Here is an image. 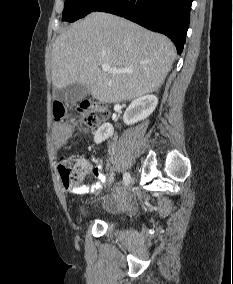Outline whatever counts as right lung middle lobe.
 Returning a JSON list of instances; mask_svg holds the SVG:
<instances>
[{"label": "right lung middle lobe", "instance_id": "dd1d6c3e", "mask_svg": "<svg viewBox=\"0 0 233 284\" xmlns=\"http://www.w3.org/2000/svg\"><path fill=\"white\" fill-rule=\"evenodd\" d=\"M107 0H65L62 21L74 22L95 11Z\"/></svg>", "mask_w": 233, "mask_h": 284}]
</instances>
